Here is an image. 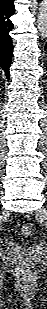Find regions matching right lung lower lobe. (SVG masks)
I'll return each mask as SVG.
<instances>
[{"label": "right lung lower lobe", "instance_id": "98d812e1", "mask_svg": "<svg viewBox=\"0 0 47 309\" xmlns=\"http://www.w3.org/2000/svg\"><path fill=\"white\" fill-rule=\"evenodd\" d=\"M14 1L0 0V67L4 70L8 80L13 55L12 39L9 36L13 24L9 18L15 13Z\"/></svg>", "mask_w": 47, "mask_h": 309}]
</instances>
